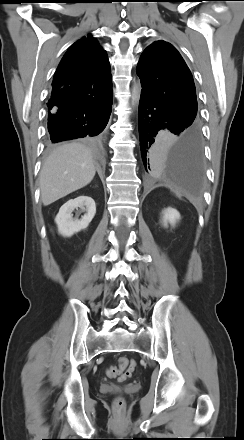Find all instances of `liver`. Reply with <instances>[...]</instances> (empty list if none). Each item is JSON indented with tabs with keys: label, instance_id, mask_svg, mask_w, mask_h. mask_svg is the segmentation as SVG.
<instances>
[{
	"label": "liver",
	"instance_id": "liver-1",
	"mask_svg": "<svg viewBox=\"0 0 244 440\" xmlns=\"http://www.w3.org/2000/svg\"><path fill=\"white\" fill-rule=\"evenodd\" d=\"M96 173L90 148L77 142L58 146L40 171L41 200L45 206L88 185Z\"/></svg>",
	"mask_w": 244,
	"mask_h": 440
}]
</instances>
